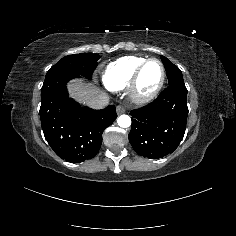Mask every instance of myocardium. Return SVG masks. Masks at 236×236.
Here are the masks:
<instances>
[{
  "mask_svg": "<svg viewBox=\"0 0 236 236\" xmlns=\"http://www.w3.org/2000/svg\"><path fill=\"white\" fill-rule=\"evenodd\" d=\"M150 62H158L161 65L162 77H161L159 84L154 89V91H152L151 93H149L147 95H142L138 91V82H139V79H140V76H141L143 70ZM165 81H166V67H165L164 63L160 59L155 58V57L147 58L137 68V70L135 71L134 76L131 80V83L129 85L128 92H129V97H130L131 101L135 104H138V105H145V104L151 103L160 94V92L165 84Z\"/></svg>",
  "mask_w": 236,
  "mask_h": 236,
  "instance_id": "obj_1",
  "label": "myocardium"
}]
</instances>
